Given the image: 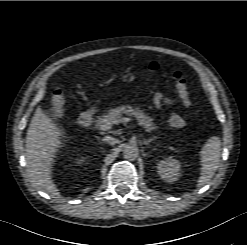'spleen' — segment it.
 <instances>
[{"mask_svg":"<svg viewBox=\"0 0 247 245\" xmlns=\"http://www.w3.org/2000/svg\"><path fill=\"white\" fill-rule=\"evenodd\" d=\"M221 156V140L211 137L200 151V177L197 187H202L209 182L219 167Z\"/></svg>","mask_w":247,"mask_h":245,"instance_id":"3e777b00","label":"spleen"}]
</instances>
